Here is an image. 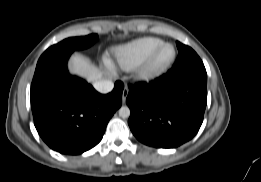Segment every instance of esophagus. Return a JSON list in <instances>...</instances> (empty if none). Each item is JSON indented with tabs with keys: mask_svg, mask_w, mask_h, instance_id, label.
Listing matches in <instances>:
<instances>
[{
	"mask_svg": "<svg viewBox=\"0 0 261 182\" xmlns=\"http://www.w3.org/2000/svg\"><path fill=\"white\" fill-rule=\"evenodd\" d=\"M128 93H129L128 88H127V87H124L123 92H122V102H123V103H125L126 98H127V96H128Z\"/></svg>",
	"mask_w": 261,
	"mask_h": 182,
	"instance_id": "esophagus-1",
	"label": "esophagus"
}]
</instances>
